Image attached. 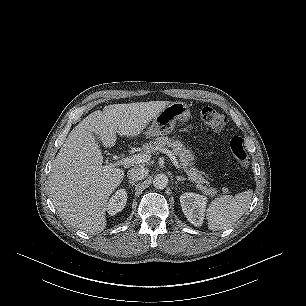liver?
I'll return each mask as SVG.
<instances>
[{"instance_id":"liver-1","label":"liver","mask_w":306,"mask_h":306,"mask_svg":"<svg viewBox=\"0 0 306 306\" xmlns=\"http://www.w3.org/2000/svg\"><path fill=\"white\" fill-rule=\"evenodd\" d=\"M169 101L113 104L94 111L74 127L59 150L49 177L52 202L61 218L89 234L106 228L107 203L124 177V170L103 166L96 142L106 148L120 136L136 137Z\"/></svg>"}]
</instances>
